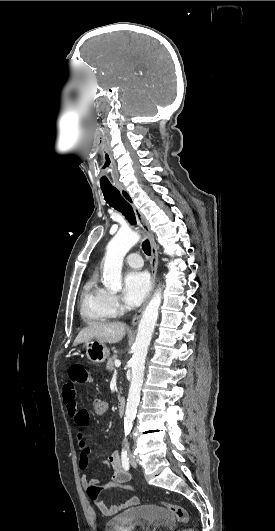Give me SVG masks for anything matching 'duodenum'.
<instances>
[{"instance_id": "1", "label": "duodenum", "mask_w": 275, "mask_h": 531, "mask_svg": "<svg viewBox=\"0 0 275 531\" xmlns=\"http://www.w3.org/2000/svg\"><path fill=\"white\" fill-rule=\"evenodd\" d=\"M126 408V399L120 398L117 403V411L120 415H122L125 412Z\"/></svg>"}]
</instances>
